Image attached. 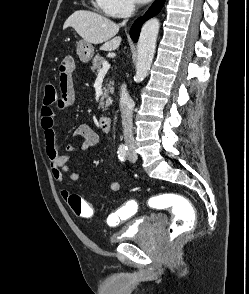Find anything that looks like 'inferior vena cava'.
<instances>
[{"mask_svg":"<svg viewBox=\"0 0 249 294\" xmlns=\"http://www.w3.org/2000/svg\"><path fill=\"white\" fill-rule=\"evenodd\" d=\"M126 20L122 22V25H125ZM120 111L122 117V126H123V135L125 144L131 148L134 147L135 141L133 137V123H132V114H133V101L130 98L126 85L121 86L120 92Z\"/></svg>","mask_w":249,"mask_h":294,"instance_id":"1","label":"inferior vena cava"}]
</instances>
